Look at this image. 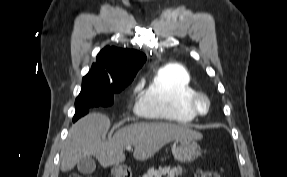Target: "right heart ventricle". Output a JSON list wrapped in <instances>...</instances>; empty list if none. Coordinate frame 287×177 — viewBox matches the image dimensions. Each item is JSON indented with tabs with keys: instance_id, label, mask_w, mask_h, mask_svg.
Instances as JSON below:
<instances>
[{
	"instance_id": "obj_1",
	"label": "right heart ventricle",
	"mask_w": 287,
	"mask_h": 177,
	"mask_svg": "<svg viewBox=\"0 0 287 177\" xmlns=\"http://www.w3.org/2000/svg\"><path fill=\"white\" fill-rule=\"evenodd\" d=\"M195 92L191 75L185 67L164 66L149 81L137 111L153 121L190 123L196 116L190 106Z\"/></svg>"
}]
</instances>
